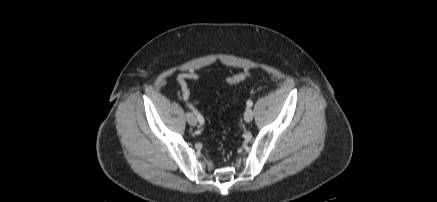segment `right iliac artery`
I'll return each instance as SVG.
<instances>
[{"label":"right iliac artery","instance_id":"1","mask_svg":"<svg viewBox=\"0 0 437 202\" xmlns=\"http://www.w3.org/2000/svg\"><path fill=\"white\" fill-rule=\"evenodd\" d=\"M187 106L193 110V112H194V114L196 115L197 120L199 121V123H200V124H203V123H204V118H203V116H202V115H201L197 110H195L194 108H192L189 104H187Z\"/></svg>","mask_w":437,"mask_h":202}]
</instances>
